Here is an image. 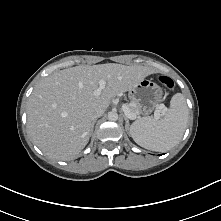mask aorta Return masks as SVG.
<instances>
[{"label": "aorta", "mask_w": 221, "mask_h": 221, "mask_svg": "<svg viewBox=\"0 0 221 221\" xmlns=\"http://www.w3.org/2000/svg\"><path fill=\"white\" fill-rule=\"evenodd\" d=\"M108 119L110 121H116L118 119V114L114 111L108 113Z\"/></svg>", "instance_id": "762f6f07"}]
</instances>
